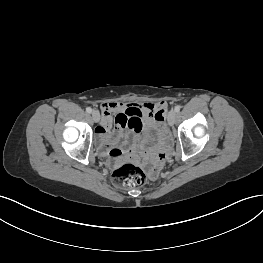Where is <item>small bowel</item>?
Here are the masks:
<instances>
[{
    "label": "small bowel",
    "mask_w": 263,
    "mask_h": 263,
    "mask_svg": "<svg viewBox=\"0 0 263 263\" xmlns=\"http://www.w3.org/2000/svg\"><path fill=\"white\" fill-rule=\"evenodd\" d=\"M102 120L97 128V143L114 160L135 157L153 131L164 126L167 103L108 102L101 105ZM152 161L145 157L150 178L160 176L165 153L160 145L150 148Z\"/></svg>",
    "instance_id": "obj_1"
}]
</instances>
